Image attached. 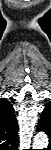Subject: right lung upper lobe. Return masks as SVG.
Returning a JSON list of instances; mask_svg holds the SVG:
<instances>
[{"mask_svg": "<svg viewBox=\"0 0 51 150\" xmlns=\"http://www.w3.org/2000/svg\"><path fill=\"white\" fill-rule=\"evenodd\" d=\"M18 143L15 111L7 99L0 98V147L3 150H16Z\"/></svg>", "mask_w": 51, "mask_h": 150, "instance_id": "cb5924a9", "label": "right lung upper lobe"}]
</instances>
